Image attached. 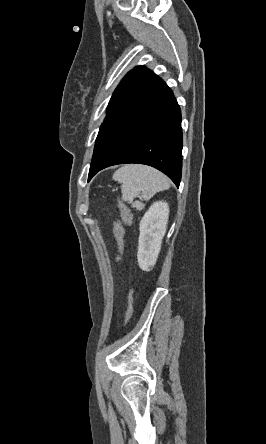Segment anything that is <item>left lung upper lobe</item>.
<instances>
[{"mask_svg": "<svg viewBox=\"0 0 266 444\" xmlns=\"http://www.w3.org/2000/svg\"><path fill=\"white\" fill-rule=\"evenodd\" d=\"M162 80L144 66H136L121 80L115 89L107 108L104 121L115 111L132 103L155 87Z\"/></svg>", "mask_w": 266, "mask_h": 444, "instance_id": "1", "label": "left lung upper lobe"}]
</instances>
